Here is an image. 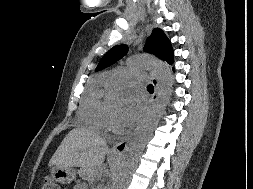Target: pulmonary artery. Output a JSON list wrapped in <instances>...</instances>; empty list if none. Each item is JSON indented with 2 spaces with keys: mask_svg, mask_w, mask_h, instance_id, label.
Masks as SVG:
<instances>
[{
  "mask_svg": "<svg viewBox=\"0 0 253 189\" xmlns=\"http://www.w3.org/2000/svg\"><path fill=\"white\" fill-rule=\"evenodd\" d=\"M146 77L135 72H124L110 80L109 84L113 87H122L129 84H142Z\"/></svg>",
  "mask_w": 253,
  "mask_h": 189,
  "instance_id": "pulmonary-artery-1",
  "label": "pulmonary artery"
}]
</instances>
